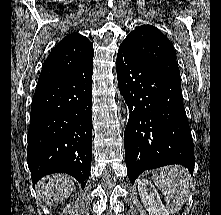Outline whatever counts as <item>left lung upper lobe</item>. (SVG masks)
Segmentation results:
<instances>
[{
  "label": "left lung upper lobe",
  "mask_w": 221,
  "mask_h": 215,
  "mask_svg": "<svg viewBox=\"0 0 221 215\" xmlns=\"http://www.w3.org/2000/svg\"><path fill=\"white\" fill-rule=\"evenodd\" d=\"M120 47L167 77L181 82L176 53L168 38L152 25H142L132 31Z\"/></svg>",
  "instance_id": "left-lung-upper-lobe-1"
}]
</instances>
